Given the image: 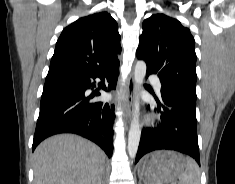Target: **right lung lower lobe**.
Listing matches in <instances>:
<instances>
[{
	"label": "right lung lower lobe",
	"mask_w": 235,
	"mask_h": 184,
	"mask_svg": "<svg viewBox=\"0 0 235 184\" xmlns=\"http://www.w3.org/2000/svg\"><path fill=\"white\" fill-rule=\"evenodd\" d=\"M119 74V65L96 73L48 72L40 105L32 150L49 136L59 133H75L99 145L112 156V126L114 105L103 102H89L100 95L85 91L95 87V79L110 80L105 91L113 90Z\"/></svg>",
	"instance_id": "right-lung-lower-lobe-1"
}]
</instances>
